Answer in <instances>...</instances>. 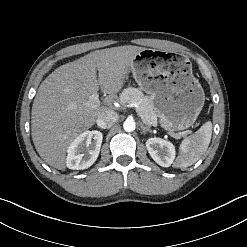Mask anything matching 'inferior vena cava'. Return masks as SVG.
Listing matches in <instances>:
<instances>
[{"mask_svg":"<svg viewBox=\"0 0 247 247\" xmlns=\"http://www.w3.org/2000/svg\"><path fill=\"white\" fill-rule=\"evenodd\" d=\"M118 118L119 116L115 111L109 110L100 114L96 120V123L100 128L106 129L112 127Z\"/></svg>","mask_w":247,"mask_h":247,"instance_id":"obj_1","label":"inferior vena cava"}]
</instances>
